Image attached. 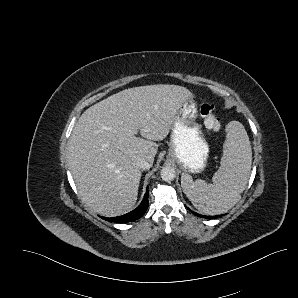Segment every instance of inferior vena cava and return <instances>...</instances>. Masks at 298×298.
<instances>
[{
	"label": "inferior vena cava",
	"instance_id": "inferior-vena-cava-1",
	"mask_svg": "<svg viewBox=\"0 0 298 298\" xmlns=\"http://www.w3.org/2000/svg\"><path fill=\"white\" fill-rule=\"evenodd\" d=\"M136 166L143 170H148L152 167V163L147 161L145 158H139L136 162Z\"/></svg>",
	"mask_w": 298,
	"mask_h": 298
}]
</instances>
